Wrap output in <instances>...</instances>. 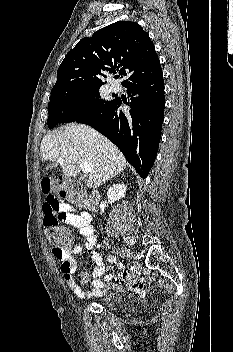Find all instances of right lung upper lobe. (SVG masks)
<instances>
[{
  "label": "right lung upper lobe",
  "mask_w": 233,
  "mask_h": 352,
  "mask_svg": "<svg viewBox=\"0 0 233 352\" xmlns=\"http://www.w3.org/2000/svg\"><path fill=\"white\" fill-rule=\"evenodd\" d=\"M119 71L122 85L161 71L154 44L136 22L118 21L80 40L57 71L53 88L102 85L105 72Z\"/></svg>",
  "instance_id": "cb5924a9"
}]
</instances>
